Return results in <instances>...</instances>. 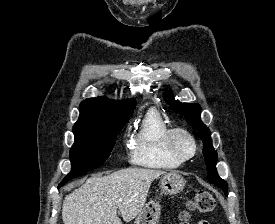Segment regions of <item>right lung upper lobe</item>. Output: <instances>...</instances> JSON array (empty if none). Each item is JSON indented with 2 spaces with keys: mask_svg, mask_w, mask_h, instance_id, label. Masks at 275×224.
I'll use <instances>...</instances> for the list:
<instances>
[{
  "mask_svg": "<svg viewBox=\"0 0 275 224\" xmlns=\"http://www.w3.org/2000/svg\"><path fill=\"white\" fill-rule=\"evenodd\" d=\"M135 105V100L119 102L104 97L89 98L81 102L80 117L74 127L129 120Z\"/></svg>",
  "mask_w": 275,
  "mask_h": 224,
  "instance_id": "obj_1",
  "label": "right lung upper lobe"
}]
</instances>
